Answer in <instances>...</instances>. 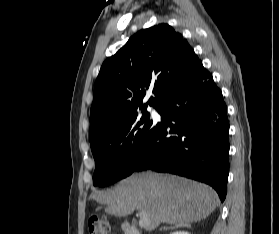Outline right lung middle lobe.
I'll return each mask as SVG.
<instances>
[{
	"mask_svg": "<svg viewBox=\"0 0 279 234\" xmlns=\"http://www.w3.org/2000/svg\"><path fill=\"white\" fill-rule=\"evenodd\" d=\"M146 109L124 120L109 135L91 144L96 168L94 186L105 187L129 176L144 156L155 125Z\"/></svg>",
	"mask_w": 279,
	"mask_h": 234,
	"instance_id": "dd1d6c3e",
	"label": "right lung middle lobe"
}]
</instances>
